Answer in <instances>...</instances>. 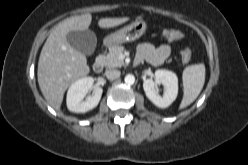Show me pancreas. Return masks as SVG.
Instances as JSON below:
<instances>
[{
  "label": "pancreas",
  "mask_w": 248,
  "mask_h": 165,
  "mask_svg": "<svg viewBox=\"0 0 248 165\" xmlns=\"http://www.w3.org/2000/svg\"><path fill=\"white\" fill-rule=\"evenodd\" d=\"M123 46H112L109 49L107 55L103 56V63L107 68H116L124 65V60L120 59V55L123 53Z\"/></svg>",
  "instance_id": "obj_1"
}]
</instances>
